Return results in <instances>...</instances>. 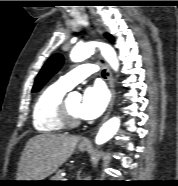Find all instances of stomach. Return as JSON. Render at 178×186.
Segmentation results:
<instances>
[{"instance_id": "0dacf381", "label": "stomach", "mask_w": 178, "mask_h": 186, "mask_svg": "<svg viewBox=\"0 0 178 186\" xmlns=\"http://www.w3.org/2000/svg\"><path fill=\"white\" fill-rule=\"evenodd\" d=\"M88 149V144H84V143H80L78 145V150L81 151V152H84ZM39 181H42V180H39Z\"/></svg>"}]
</instances>
